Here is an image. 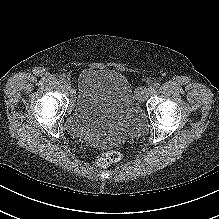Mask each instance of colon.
<instances>
[{
	"mask_svg": "<svg viewBox=\"0 0 219 219\" xmlns=\"http://www.w3.org/2000/svg\"><path fill=\"white\" fill-rule=\"evenodd\" d=\"M122 160V154L119 151H108L97 159V165L101 168H108Z\"/></svg>",
	"mask_w": 219,
	"mask_h": 219,
	"instance_id": "1",
	"label": "colon"
}]
</instances>
